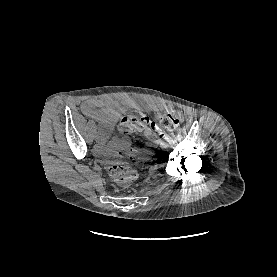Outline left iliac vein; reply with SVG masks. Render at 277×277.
<instances>
[{
	"label": "left iliac vein",
	"instance_id": "4c4485c4",
	"mask_svg": "<svg viewBox=\"0 0 277 277\" xmlns=\"http://www.w3.org/2000/svg\"><path fill=\"white\" fill-rule=\"evenodd\" d=\"M168 146V143L167 142H161L160 143V147L161 148H166Z\"/></svg>",
	"mask_w": 277,
	"mask_h": 277
}]
</instances>
